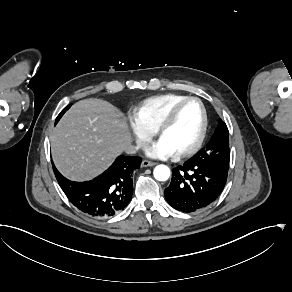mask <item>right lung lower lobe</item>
Returning a JSON list of instances; mask_svg holds the SVG:
<instances>
[{"instance_id":"obj_1","label":"right lung lower lobe","mask_w":292,"mask_h":292,"mask_svg":"<svg viewBox=\"0 0 292 292\" xmlns=\"http://www.w3.org/2000/svg\"><path fill=\"white\" fill-rule=\"evenodd\" d=\"M141 161L140 157L119 156L105 172L86 182L68 180L53 163L52 166L60 187L74 206L93 217H109L129 204L132 172L140 168Z\"/></svg>"}]
</instances>
